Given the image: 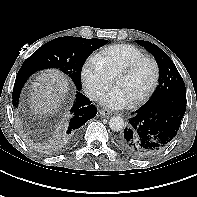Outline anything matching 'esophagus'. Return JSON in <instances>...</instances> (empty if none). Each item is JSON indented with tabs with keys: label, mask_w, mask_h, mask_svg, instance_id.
Returning <instances> with one entry per match:
<instances>
[{
	"label": "esophagus",
	"mask_w": 197,
	"mask_h": 197,
	"mask_svg": "<svg viewBox=\"0 0 197 197\" xmlns=\"http://www.w3.org/2000/svg\"><path fill=\"white\" fill-rule=\"evenodd\" d=\"M99 113L103 117H110L113 114L110 110L107 109H101Z\"/></svg>",
	"instance_id": "1"
}]
</instances>
